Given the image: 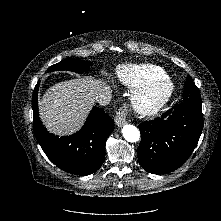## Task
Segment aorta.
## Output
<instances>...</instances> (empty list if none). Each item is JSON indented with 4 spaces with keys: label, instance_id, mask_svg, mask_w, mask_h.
<instances>
[{
    "label": "aorta",
    "instance_id": "obj_1",
    "mask_svg": "<svg viewBox=\"0 0 221 221\" xmlns=\"http://www.w3.org/2000/svg\"><path fill=\"white\" fill-rule=\"evenodd\" d=\"M122 135L126 141L131 143L137 142L140 139V132L138 128L131 124L123 126Z\"/></svg>",
    "mask_w": 221,
    "mask_h": 221
}]
</instances>
